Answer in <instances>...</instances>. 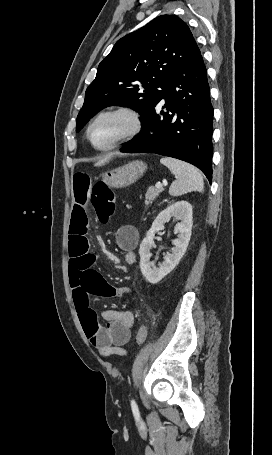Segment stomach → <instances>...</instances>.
Here are the masks:
<instances>
[{"mask_svg": "<svg viewBox=\"0 0 272 455\" xmlns=\"http://www.w3.org/2000/svg\"><path fill=\"white\" fill-rule=\"evenodd\" d=\"M146 170V163L140 160H135L104 173L102 175V180L109 187L122 188L136 182L143 176Z\"/></svg>", "mask_w": 272, "mask_h": 455, "instance_id": "obj_1", "label": "stomach"}]
</instances>
